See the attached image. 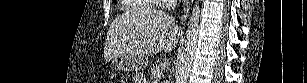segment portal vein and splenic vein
<instances>
[{
    "label": "portal vein and splenic vein",
    "instance_id": "18ae733b",
    "mask_svg": "<svg viewBox=\"0 0 307 83\" xmlns=\"http://www.w3.org/2000/svg\"><path fill=\"white\" fill-rule=\"evenodd\" d=\"M162 75H163V73H161V72H160V73H158V74H157L158 79H160Z\"/></svg>",
    "mask_w": 307,
    "mask_h": 83
}]
</instances>
